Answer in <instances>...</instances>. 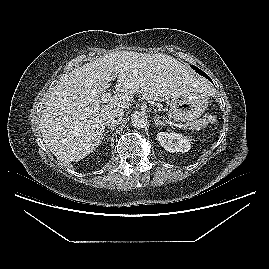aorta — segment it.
Instances as JSON below:
<instances>
[{
  "mask_svg": "<svg viewBox=\"0 0 269 269\" xmlns=\"http://www.w3.org/2000/svg\"><path fill=\"white\" fill-rule=\"evenodd\" d=\"M131 124L135 128H143L147 125V116L145 113L136 111L131 115Z\"/></svg>",
  "mask_w": 269,
  "mask_h": 269,
  "instance_id": "1",
  "label": "aorta"
}]
</instances>
